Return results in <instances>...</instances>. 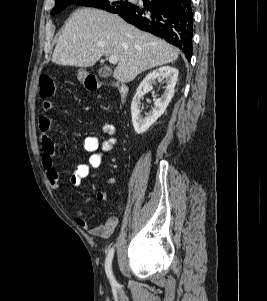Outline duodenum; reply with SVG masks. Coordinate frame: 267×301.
<instances>
[{"mask_svg":"<svg viewBox=\"0 0 267 301\" xmlns=\"http://www.w3.org/2000/svg\"><path fill=\"white\" fill-rule=\"evenodd\" d=\"M85 82H86V87L89 90H95L100 87V84L96 81V79L90 75H88L86 77ZM115 87L117 88V90L119 92L121 102H124V100L126 99L127 93H128L127 86L122 82H117V83H115Z\"/></svg>","mask_w":267,"mask_h":301,"instance_id":"1","label":"duodenum"}]
</instances>
